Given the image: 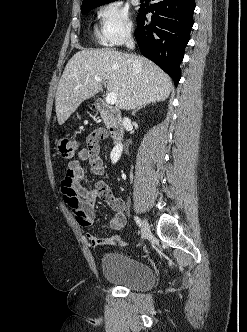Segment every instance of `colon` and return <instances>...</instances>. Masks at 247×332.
Instances as JSON below:
<instances>
[{
    "mask_svg": "<svg viewBox=\"0 0 247 332\" xmlns=\"http://www.w3.org/2000/svg\"><path fill=\"white\" fill-rule=\"evenodd\" d=\"M80 149L78 140L67 136H60L56 140V150L60 157L73 158Z\"/></svg>",
    "mask_w": 247,
    "mask_h": 332,
    "instance_id": "1",
    "label": "colon"
}]
</instances>
